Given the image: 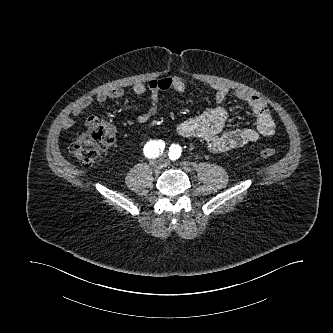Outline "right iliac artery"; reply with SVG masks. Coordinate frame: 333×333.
Returning <instances> with one entry per match:
<instances>
[{
	"instance_id": "1",
	"label": "right iliac artery",
	"mask_w": 333,
	"mask_h": 333,
	"mask_svg": "<svg viewBox=\"0 0 333 333\" xmlns=\"http://www.w3.org/2000/svg\"><path fill=\"white\" fill-rule=\"evenodd\" d=\"M165 147V143L162 140H150L144 146V154L147 158H155L159 155L160 151L163 150Z\"/></svg>"
}]
</instances>
